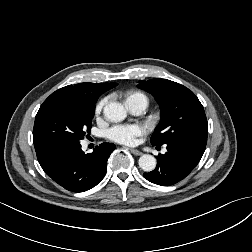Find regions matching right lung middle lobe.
<instances>
[{"instance_id": "right-lung-middle-lobe-1", "label": "right lung middle lobe", "mask_w": 252, "mask_h": 252, "mask_svg": "<svg viewBox=\"0 0 252 252\" xmlns=\"http://www.w3.org/2000/svg\"><path fill=\"white\" fill-rule=\"evenodd\" d=\"M95 103L67 97L47 98L33 128V143L80 142L90 132Z\"/></svg>"}]
</instances>
